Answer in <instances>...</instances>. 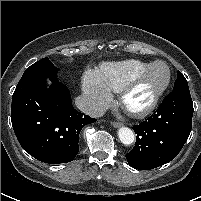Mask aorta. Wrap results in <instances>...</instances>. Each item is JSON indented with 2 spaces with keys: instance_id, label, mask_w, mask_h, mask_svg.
I'll return each instance as SVG.
<instances>
[{
  "instance_id": "762f6f07",
  "label": "aorta",
  "mask_w": 201,
  "mask_h": 201,
  "mask_svg": "<svg viewBox=\"0 0 201 201\" xmlns=\"http://www.w3.org/2000/svg\"><path fill=\"white\" fill-rule=\"evenodd\" d=\"M118 137L120 141L125 145H130L135 141V135L130 128L121 127L118 130Z\"/></svg>"
}]
</instances>
